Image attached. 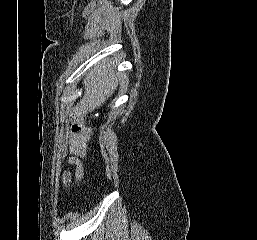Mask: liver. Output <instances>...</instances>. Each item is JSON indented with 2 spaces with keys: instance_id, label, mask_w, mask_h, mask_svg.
Listing matches in <instances>:
<instances>
[{
  "instance_id": "6515ba94",
  "label": "liver",
  "mask_w": 257,
  "mask_h": 240,
  "mask_svg": "<svg viewBox=\"0 0 257 240\" xmlns=\"http://www.w3.org/2000/svg\"><path fill=\"white\" fill-rule=\"evenodd\" d=\"M114 65L102 63L85 78V92L74 106L73 114L83 119L88 112L105 103L117 88V76L113 74Z\"/></svg>"
}]
</instances>
